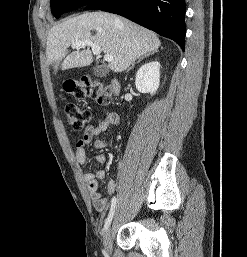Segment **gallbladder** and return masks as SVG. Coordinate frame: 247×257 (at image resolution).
Listing matches in <instances>:
<instances>
[{
	"label": "gallbladder",
	"mask_w": 247,
	"mask_h": 257,
	"mask_svg": "<svg viewBox=\"0 0 247 257\" xmlns=\"http://www.w3.org/2000/svg\"><path fill=\"white\" fill-rule=\"evenodd\" d=\"M109 70L107 67L103 66V65H97L93 68V74L96 77H105L108 74Z\"/></svg>",
	"instance_id": "bac80fb5"
}]
</instances>
